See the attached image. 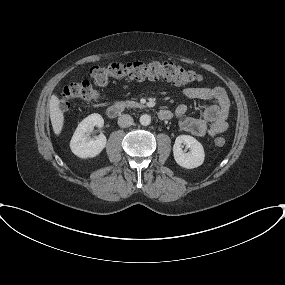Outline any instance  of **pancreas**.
<instances>
[{
  "mask_svg": "<svg viewBox=\"0 0 285 285\" xmlns=\"http://www.w3.org/2000/svg\"><path fill=\"white\" fill-rule=\"evenodd\" d=\"M119 105L121 107H127V108H134V107L143 108L144 107L142 104L135 102V101H131V100L121 101L119 102Z\"/></svg>",
  "mask_w": 285,
  "mask_h": 285,
  "instance_id": "cf45deb5",
  "label": "pancreas"
}]
</instances>
